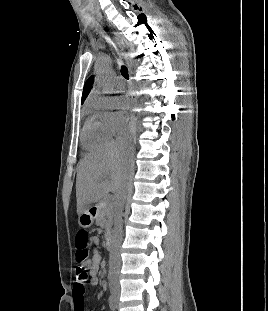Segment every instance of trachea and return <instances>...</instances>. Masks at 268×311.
<instances>
[{"label":"trachea","instance_id":"trachea-1","mask_svg":"<svg viewBox=\"0 0 268 311\" xmlns=\"http://www.w3.org/2000/svg\"><path fill=\"white\" fill-rule=\"evenodd\" d=\"M121 74L125 79H129L128 69L126 66H121Z\"/></svg>","mask_w":268,"mask_h":311}]
</instances>
